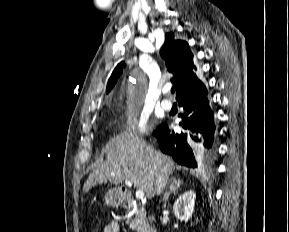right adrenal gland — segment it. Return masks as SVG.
<instances>
[{
  "instance_id": "right-adrenal-gland-1",
  "label": "right adrenal gland",
  "mask_w": 289,
  "mask_h": 232,
  "mask_svg": "<svg viewBox=\"0 0 289 232\" xmlns=\"http://www.w3.org/2000/svg\"><path fill=\"white\" fill-rule=\"evenodd\" d=\"M181 185H182V181L180 179H176V177H173L171 179L169 191L165 192L163 196V200L167 202L170 194L176 193Z\"/></svg>"
}]
</instances>
